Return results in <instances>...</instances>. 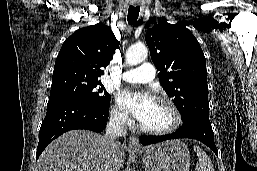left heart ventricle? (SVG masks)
Returning a JSON list of instances; mask_svg holds the SVG:
<instances>
[{"instance_id": "obj_1", "label": "left heart ventricle", "mask_w": 257, "mask_h": 171, "mask_svg": "<svg viewBox=\"0 0 257 171\" xmlns=\"http://www.w3.org/2000/svg\"><path fill=\"white\" fill-rule=\"evenodd\" d=\"M173 121V115L168 107L163 104L155 102L152 109L141 121V124L148 128H165L169 126Z\"/></svg>"}]
</instances>
